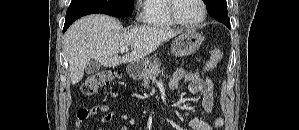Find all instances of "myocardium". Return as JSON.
Instances as JSON below:
<instances>
[{
    "label": "myocardium",
    "instance_id": "myocardium-1",
    "mask_svg": "<svg viewBox=\"0 0 299 130\" xmlns=\"http://www.w3.org/2000/svg\"><path fill=\"white\" fill-rule=\"evenodd\" d=\"M176 1L177 0H169L168 1L169 14H170L171 18L175 21L176 24H179V25L187 27V28H194V27L201 25L205 21L206 16H207V6H206L204 0H198L201 5V8H202V15L198 20H196L194 22L184 21L178 16V14L176 12Z\"/></svg>",
    "mask_w": 299,
    "mask_h": 130
}]
</instances>
